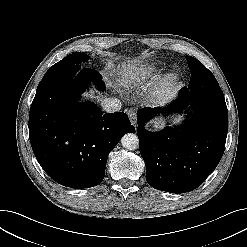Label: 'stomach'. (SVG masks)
Instances as JSON below:
<instances>
[{
	"mask_svg": "<svg viewBox=\"0 0 247 247\" xmlns=\"http://www.w3.org/2000/svg\"><path fill=\"white\" fill-rule=\"evenodd\" d=\"M159 125V123H155V126L157 127Z\"/></svg>",
	"mask_w": 247,
	"mask_h": 247,
	"instance_id": "stomach-1",
	"label": "stomach"
}]
</instances>
